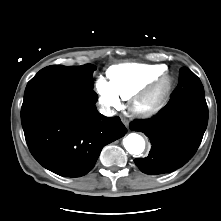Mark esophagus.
Segmentation results:
<instances>
[{
	"label": "esophagus",
	"instance_id": "34e87169",
	"mask_svg": "<svg viewBox=\"0 0 221 221\" xmlns=\"http://www.w3.org/2000/svg\"><path fill=\"white\" fill-rule=\"evenodd\" d=\"M121 120H122V122L124 123V125L128 128V127H129V121H128V119L122 117Z\"/></svg>",
	"mask_w": 221,
	"mask_h": 221
}]
</instances>
